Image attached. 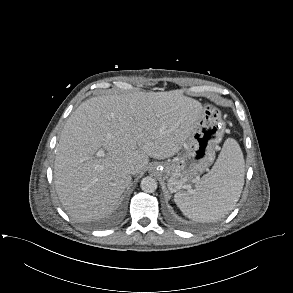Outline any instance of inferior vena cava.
Masks as SVG:
<instances>
[{
	"label": "inferior vena cava",
	"instance_id": "inferior-vena-cava-1",
	"mask_svg": "<svg viewBox=\"0 0 293 293\" xmlns=\"http://www.w3.org/2000/svg\"><path fill=\"white\" fill-rule=\"evenodd\" d=\"M125 170L127 173L129 174H134L136 173L137 171V166H135L134 164H128L126 167H125Z\"/></svg>",
	"mask_w": 293,
	"mask_h": 293
}]
</instances>
